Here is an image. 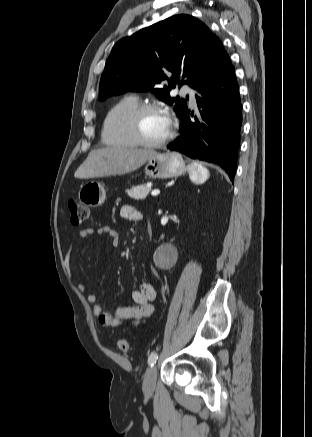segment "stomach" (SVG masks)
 <instances>
[{"instance_id":"stomach-1","label":"stomach","mask_w":312,"mask_h":437,"mask_svg":"<svg viewBox=\"0 0 312 437\" xmlns=\"http://www.w3.org/2000/svg\"><path fill=\"white\" fill-rule=\"evenodd\" d=\"M144 172L150 178L167 179L183 175L185 162L177 152L156 153L148 159ZM79 201L89 207L101 206L106 199L104 185L98 181L83 184L78 193Z\"/></svg>"}]
</instances>
